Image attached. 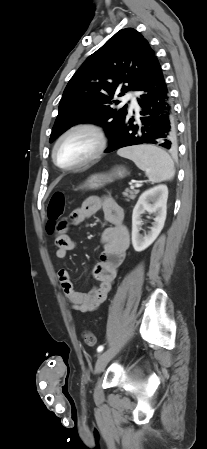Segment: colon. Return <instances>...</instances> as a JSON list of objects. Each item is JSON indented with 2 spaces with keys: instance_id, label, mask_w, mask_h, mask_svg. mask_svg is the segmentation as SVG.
I'll return each instance as SVG.
<instances>
[{
  "instance_id": "1",
  "label": "colon",
  "mask_w": 207,
  "mask_h": 449,
  "mask_svg": "<svg viewBox=\"0 0 207 449\" xmlns=\"http://www.w3.org/2000/svg\"><path fill=\"white\" fill-rule=\"evenodd\" d=\"M65 208V198L64 194L61 192H56L52 195L48 206H47V216L49 220L48 230L49 232H54L58 230V222L61 219ZM83 339L87 346L93 347L96 344V338L94 334L90 331H85L83 333Z\"/></svg>"
}]
</instances>
